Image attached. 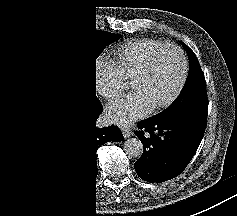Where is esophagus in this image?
<instances>
[{
  "mask_svg": "<svg viewBox=\"0 0 237 216\" xmlns=\"http://www.w3.org/2000/svg\"><path fill=\"white\" fill-rule=\"evenodd\" d=\"M122 132H123V135L124 136H129V135H131V133H132V130H131V128H122Z\"/></svg>",
  "mask_w": 237,
  "mask_h": 216,
  "instance_id": "1",
  "label": "esophagus"
}]
</instances>
